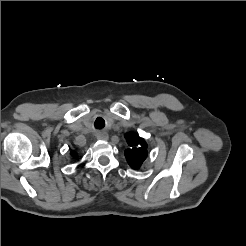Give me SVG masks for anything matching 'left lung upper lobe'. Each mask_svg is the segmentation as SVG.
Returning a JSON list of instances; mask_svg holds the SVG:
<instances>
[{
    "label": "left lung upper lobe",
    "mask_w": 246,
    "mask_h": 246,
    "mask_svg": "<svg viewBox=\"0 0 246 246\" xmlns=\"http://www.w3.org/2000/svg\"><path fill=\"white\" fill-rule=\"evenodd\" d=\"M125 138L130 146V149L125 151L127 162L133 169H138L147 157V144L133 132L127 133Z\"/></svg>",
    "instance_id": "1"
}]
</instances>
